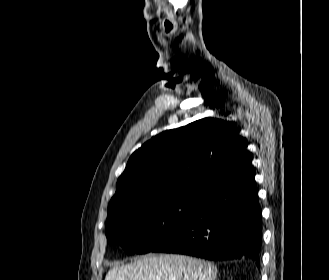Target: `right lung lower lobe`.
I'll return each mask as SVG.
<instances>
[{
    "label": "right lung lower lobe",
    "mask_w": 329,
    "mask_h": 280,
    "mask_svg": "<svg viewBox=\"0 0 329 280\" xmlns=\"http://www.w3.org/2000/svg\"><path fill=\"white\" fill-rule=\"evenodd\" d=\"M254 177L250 160L217 179L186 222L151 252L249 259L260 267L261 209Z\"/></svg>",
    "instance_id": "1"
}]
</instances>
